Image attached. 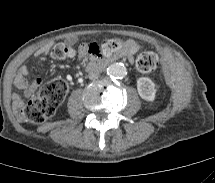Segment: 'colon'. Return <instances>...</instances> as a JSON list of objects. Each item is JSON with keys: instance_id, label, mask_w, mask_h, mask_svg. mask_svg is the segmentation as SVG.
Wrapping results in <instances>:
<instances>
[{"instance_id": "colon-1", "label": "colon", "mask_w": 215, "mask_h": 183, "mask_svg": "<svg viewBox=\"0 0 215 183\" xmlns=\"http://www.w3.org/2000/svg\"><path fill=\"white\" fill-rule=\"evenodd\" d=\"M81 49L88 55L95 57H114L124 51L137 54L136 66L143 73L153 72L158 66L155 53L144 51L139 53V46L127 48L118 39H105L100 43H85ZM74 48L66 43H57L51 50V57L62 60L73 57ZM68 91V84L62 79H55L44 84L38 93L26 103L18 107L17 114L22 122L40 124L51 118L62 103Z\"/></svg>"}]
</instances>
